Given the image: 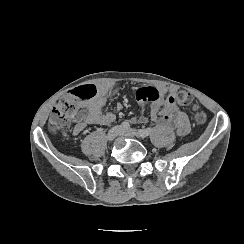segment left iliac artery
I'll return each mask as SVG.
<instances>
[{
  "instance_id": "left-iliac-artery-1",
  "label": "left iliac artery",
  "mask_w": 244,
  "mask_h": 244,
  "mask_svg": "<svg viewBox=\"0 0 244 244\" xmlns=\"http://www.w3.org/2000/svg\"><path fill=\"white\" fill-rule=\"evenodd\" d=\"M152 130H153V128H151V127L146 128V129H139L137 134H138L139 137L145 138V137H147L148 135L151 134Z\"/></svg>"
}]
</instances>
